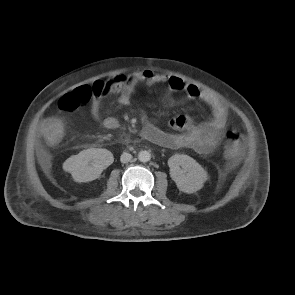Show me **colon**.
<instances>
[{
    "label": "colon",
    "instance_id": "obj_1",
    "mask_svg": "<svg viewBox=\"0 0 295 295\" xmlns=\"http://www.w3.org/2000/svg\"><path fill=\"white\" fill-rule=\"evenodd\" d=\"M132 82V78L126 75H115L107 80H99L92 86L84 85L64 95L60 101L61 109L74 111L92 98L121 91ZM41 132L44 139L51 145L57 144L63 137V123L58 118L46 119L41 125ZM224 147V156L231 164L237 163L244 152L242 136L235 131H227Z\"/></svg>",
    "mask_w": 295,
    "mask_h": 295
}]
</instances>
